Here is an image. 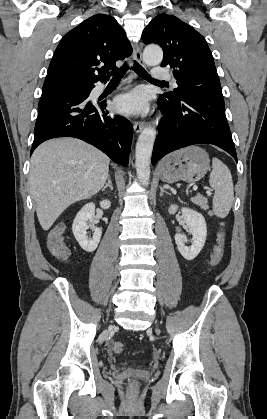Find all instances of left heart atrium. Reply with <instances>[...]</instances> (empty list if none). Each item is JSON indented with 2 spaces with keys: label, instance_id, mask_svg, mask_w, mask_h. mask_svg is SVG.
Returning <instances> with one entry per match:
<instances>
[{
  "label": "left heart atrium",
  "instance_id": "left-heart-atrium-1",
  "mask_svg": "<svg viewBox=\"0 0 267 419\" xmlns=\"http://www.w3.org/2000/svg\"><path fill=\"white\" fill-rule=\"evenodd\" d=\"M114 108L121 113L141 115L149 109L148 93L144 89H135L117 97Z\"/></svg>",
  "mask_w": 267,
  "mask_h": 419
}]
</instances>
